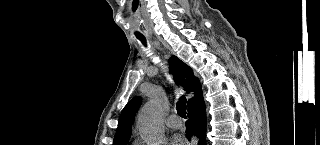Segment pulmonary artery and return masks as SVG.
I'll list each match as a JSON object with an SVG mask.
<instances>
[{"mask_svg":"<svg viewBox=\"0 0 320 145\" xmlns=\"http://www.w3.org/2000/svg\"><path fill=\"white\" fill-rule=\"evenodd\" d=\"M166 124L172 129H178L182 126L180 118L176 115H171L167 118Z\"/></svg>","mask_w":320,"mask_h":145,"instance_id":"e3ab8cb5","label":"pulmonary artery"}]
</instances>
